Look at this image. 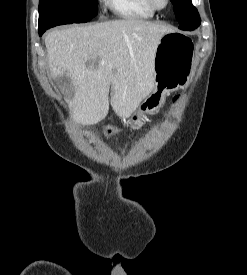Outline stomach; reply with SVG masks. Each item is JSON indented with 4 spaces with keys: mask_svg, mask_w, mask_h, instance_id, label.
Returning <instances> with one entry per match:
<instances>
[{
    "mask_svg": "<svg viewBox=\"0 0 247 275\" xmlns=\"http://www.w3.org/2000/svg\"><path fill=\"white\" fill-rule=\"evenodd\" d=\"M194 68L192 40L180 33L165 34L157 46L154 57V90L144 99L130 118L134 128L141 127L147 115L154 114L164 104L166 95L188 85ZM114 130L107 127L106 136Z\"/></svg>",
    "mask_w": 247,
    "mask_h": 275,
    "instance_id": "stomach-1",
    "label": "stomach"
}]
</instances>
